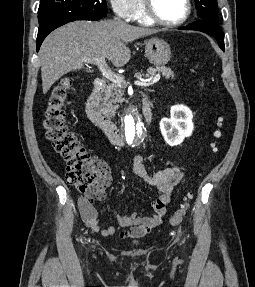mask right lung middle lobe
Here are the masks:
<instances>
[{
    "mask_svg": "<svg viewBox=\"0 0 255 287\" xmlns=\"http://www.w3.org/2000/svg\"><path fill=\"white\" fill-rule=\"evenodd\" d=\"M107 15L106 0H41L39 27L65 20H99Z\"/></svg>",
    "mask_w": 255,
    "mask_h": 287,
    "instance_id": "obj_1",
    "label": "right lung middle lobe"
}]
</instances>
